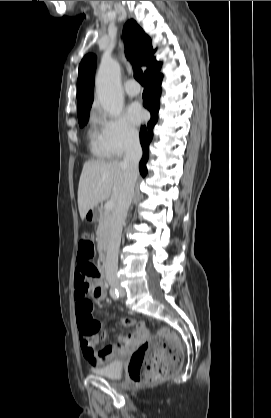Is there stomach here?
Segmentation results:
<instances>
[{"instance_id": "0dacf381", "label": "stomach", "mask_w": 271, "mask_h": 418, "mask_svg": "<svg viewBox=\"0 0 271 418\" xmlns=\"http://www.w3.org/2000/svg\"><path fill=\"white\" fill-rule=\"evenodd\" d=\"M99 217V208L89 209L85 215V219L89 222H95Z\"/></svg>"}]
</instances>
